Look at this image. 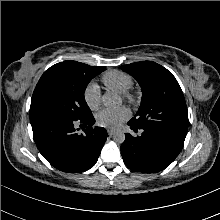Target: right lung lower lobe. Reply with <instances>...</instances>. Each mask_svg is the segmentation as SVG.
I'll use <instances>...</instances> for the list:
<instances>
[{
	"label": "right lung lower lobe",
	"instance_id": "1",
	"mask_svg": "<svg viewBox=\"0 0 220 220\" xmlns=\"http://www.w3.org/2000/svg\"><path fill=\"white\" fill-rule=\"evenodd\" d=\"M35 143L44 158L64 172H83L95 165L108 136L103 127H92L93 115L68 119L48 110H30ZM86 127L78 134L75 124ZM79 130V129H77Z\"/></svg>",
	"mask_w": 220,
	"mask_h": 220
}]
</instances>
